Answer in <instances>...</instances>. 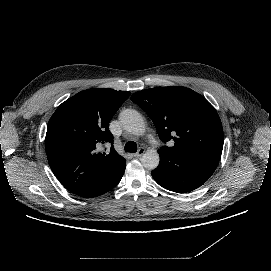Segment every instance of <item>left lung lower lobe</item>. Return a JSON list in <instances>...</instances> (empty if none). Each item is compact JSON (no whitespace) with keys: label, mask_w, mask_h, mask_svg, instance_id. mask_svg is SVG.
I'll return each instance as SVG.
<instances>
[{"label":"left lung lower lobe","mask_w":271,"mask_h":271,"mask_svg":"<svg viewBox=\"0 0 271 271\" xmlns=\"http://www.w3.org/2000/svg\"><path fill=\"white\" fill-rule=\"evenodd\" d=\"M160 163L151 174L163 188L187 193L200 187L215 171L219 159L215 156L173 151L167 147L158 150Z\"/></svg>","instance_id":"0a47b994"}]
</instances>
